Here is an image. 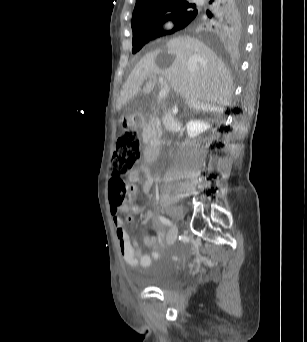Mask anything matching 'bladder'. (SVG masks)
<instances>
[{
    "label": "bladder",
    "instance_id": "obj_1",
    "mask_svg": "<svg viewBox=\"0 0 307 342\" xmlns=\"http://www.w3.org/2000/svg\"><path fill=\"white\" fill-rule=\"evenodd\" d=\"M180 280L177 268L169 261L159 258L149 267L147 285L159 289H169Z\"/></svg>",
    "mask_w": 307,
    "mask_h": 342
}]
</instances>
